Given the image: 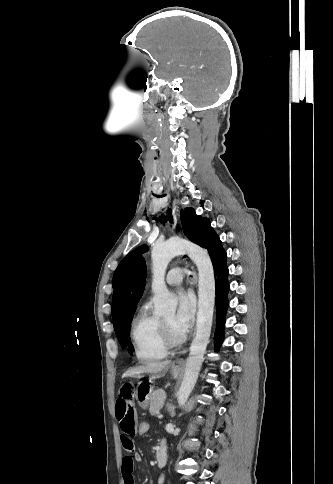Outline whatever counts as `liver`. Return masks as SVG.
I'll return each mask as SVG.
<instances>
[{"label":"liver","mask_w":333,"mask_h":484,"mask_svg":"<svg viewBox=\"0 0 333 484\" xmlns=\"http://www.w3.org/2000/svg\"><path fill=\"white\" fill-rule=\"evenodd\" d=\"M171 364V361L166 360L162 362H150L147 365L139 366L137 368L130 369L123 374L124 377H135L140 374H152L157 375L166 371Z\"/></svg>","instance_id":"6515ba94"}]
</instances>
